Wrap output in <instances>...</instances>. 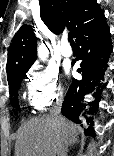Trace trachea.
Instances as JSON below:
<instances>
[{"instance_id": "3493384b", "label": "trachea", "mask_w": 114, "mask_h": 156, "mask_svg": "<svg viewBox=\"0 0 114 156\" xmlns=\"http://www.w3.org/2000/svg\"><path fill=\"white\" fill-rule=\"evenodd\" d=\"M68 40L70 41L71 44L74 43L73 36H72V34L70 32L68 33Z\"/></svg>"}]
</instances>
